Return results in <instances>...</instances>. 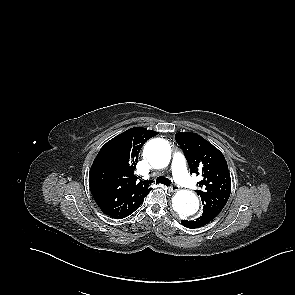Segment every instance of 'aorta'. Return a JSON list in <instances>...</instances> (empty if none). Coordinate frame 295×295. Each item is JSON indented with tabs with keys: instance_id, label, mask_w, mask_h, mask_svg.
Here are the masks:
<instances>
[{
	"instance_id": "1",
	"label": "aorta",
	"mask_w": 295,
	"mask_h": 295,
	"mask_svg": "<svg viewBox=\"0 0 295 295\" xmlns=\"http://www.w3.org/2000/svg\"><path fill=\"white\" fill-rule=\"evenodd\" d=\"M144 155L153 167L164 168L171 159L170 146L161 138L152 139L145 145ZM172 203L174 211L180 218L194 219L197 216L200 204L198 197L192 191H178Z\"/></svg>"
}]
</instances>
